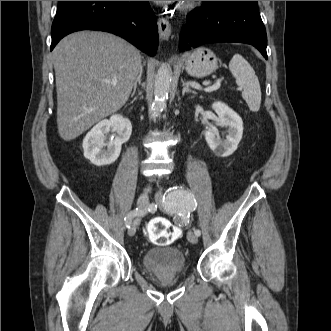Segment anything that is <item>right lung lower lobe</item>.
Masks as SVG:
<instances>
[{"label": "right lung lower lobe", "instance_id": "1", "mask_svg": "<svg viewBox=\"0 0 331 331\" xmlns=\"http://www.w3.org/2000/svg\"><path fill=\"white\" fill-rule=\"evenodd\" d=\"M79 30L116 34L151 56L157 51L156 17L148 1H59L51 50L64 36Z\"/></svg>", "mask_w": 331, "mask_h": 331}]
</instances>
